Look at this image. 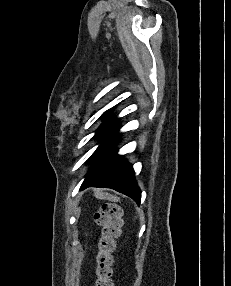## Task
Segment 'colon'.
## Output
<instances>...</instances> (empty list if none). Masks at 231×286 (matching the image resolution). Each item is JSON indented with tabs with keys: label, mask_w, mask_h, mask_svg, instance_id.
<instances>
[{
	"label": "colon",
	"mask_w": 231,
	"mask_h": 286,
	"mask_svg": "<svg viewBox=\"0 0 231 286\" xmlns=\"http://www.w3.org/2000/svg\"><path fill=\"white\" fill-rule=\"evenodd\" d=\"M95 222L101 227L96 257L97 280L95 286H113L112 263L115 239L120 234L121 211L112 203L103 204L94 214Z\"/></svg>",
	"instance_id": "obj_1"
}]
</instances>
